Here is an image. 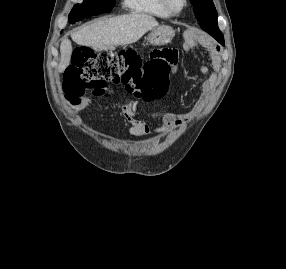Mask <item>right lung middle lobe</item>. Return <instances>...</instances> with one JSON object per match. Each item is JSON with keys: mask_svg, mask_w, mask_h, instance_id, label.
Returning a JSON list of instances; mask_svg holds the SVG:
<instances>
[{"mask_svg": "<svg viewBox=\"0 0 286 269\" xmlns=\"http://www.w3.org/2000/svg\"><path fill=\"white\" fill-rule=\"evenodd\" d=\"M115 0H84L82 4L74 5L69 14L68 22L73 24L83 18L109 12Z\"/></svg>", "mask_w": 286, "mask_h": 269, "instance_id": "dd1d6c3e", "label": "right lung middle lobe"}]
</instances>
